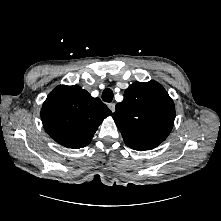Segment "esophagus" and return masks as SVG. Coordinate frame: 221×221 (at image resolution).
I'll return each instance as SVG.
<instances>
[{
	"mask_svg": "<svg viewBox=\"0 0 221 221\" xmlns=\"http://www.w3.org/2000/svg\"><path fill=\"white\" fill-rule=\"evenodd\" d=\"M109 109L114 112L115 111V103H109L108 104Z\"/></svg>",
	"mask_w": 221,
	"mask_h": 221,
	"instance_id": "obj_1",
	"label": "esophagus"
}]
</instances>
